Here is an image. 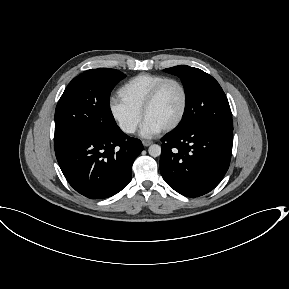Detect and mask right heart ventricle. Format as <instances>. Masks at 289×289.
I'll return each instance as SVG.
<instances>
[{
	"label": "right heart ventricle",
	"instance_id": "obj_1",
	"mask_svg": "<svg viewBox=\"0 0 289 289\" xmlns=\"http://www.w3.org/2000/svg\"><path fill=\"white\" fill-rule=\"evenodd\" d=\"M165 78V76L158 74H138L118 89L117 96L126 106L141 113L142 105L149 92Z\"/></svg>",
	"mask_w": 289,
	"mask_h": 289
}]
</instances>
